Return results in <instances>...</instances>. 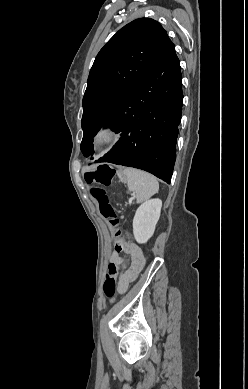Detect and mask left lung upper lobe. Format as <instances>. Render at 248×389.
I'll return each instance as SVG.
<instances>
[{
	"instance_id": "5c2ea615",
	"label": "left lung upper lobe",
	"mask_w": 248,
	"mask_h": 389,
	"mask_svg": "<svg viewBox=\"0 0 248 389\" xmlns=\"http://www.w3.org/2000/svg\"><path fill=\"white\" fill-rule=\"evenodd\" d=\"M173 43L157 21L136 19L121 28L100 50L83 97L81 151L94 153L93 137L119 104Z\"/></svg>"
}]
</instances>
